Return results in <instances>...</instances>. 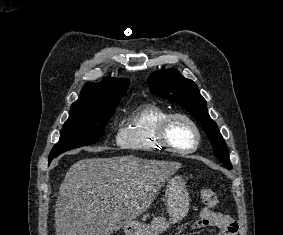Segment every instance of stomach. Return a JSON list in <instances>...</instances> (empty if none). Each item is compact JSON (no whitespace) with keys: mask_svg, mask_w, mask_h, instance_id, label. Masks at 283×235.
I'll list each match as a JSON object with an SVG mask.
<instances>
[{"mask_svg":"<svg viewBox=\"0 0 283 235\" xmlns=\"http://www.w3.org/2000/svg\"><path fill=\"white\" fill-rule=\"evenodd\" d=\"M165 200L169 221L163 216L155 217L150 224L132 221L124 225L125 235H159L169 228L170 223H176L187 215L190 208V198L185 180L181 176L176 175L168 178Z\"/></svg>","mask_w":283,"mask_h":235,"instance_id":"0dacf381","label":"stomach"}]
</instances>
